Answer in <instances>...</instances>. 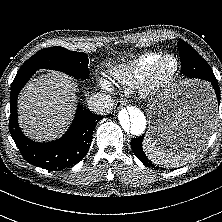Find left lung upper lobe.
Here are the masks:
<instances>
[{
	"instance_id": "left-lung-upper-lobe-1",
	"label": "left lung upper lobe",
	"mask_w": 222,
	"mask_h": 222,
	"mask_svg": "<svg viewBox=\"0 0 222 222\" xmlns=\"http://www.w3.org/2000/svg\"><path fill=\"white\" fill-rule=\"evenodd\" d=\"M178 49L180 56H192L197 59L201 65H203L207 70L212 71L208 63L186 42L179 40Z\"/></svg>"
}]
</instances>
